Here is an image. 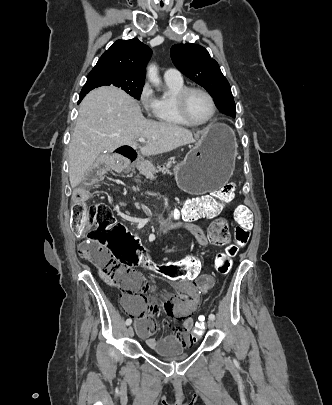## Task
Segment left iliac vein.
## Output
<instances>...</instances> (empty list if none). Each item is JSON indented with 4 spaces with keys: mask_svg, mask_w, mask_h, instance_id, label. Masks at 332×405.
Masks as SVG:
<instances>
[{
    "mask_svg": "<svg viewBox=\"0 0 332 405\" xmlns=\"http://www.w3.org/2000/svg\"><path fill=\"white\" fill-rule=\"evenodd\" d=\"M207 325H208L209 328H214L215 327L214 321L210 320V319L208 320Z\"/></svg>",
    "mask_w": 332,
    "mask_h": 405,
    "instance_id": "left-iliac-vein-1",
    "label": "left iliac vein"
}]
</instances>
